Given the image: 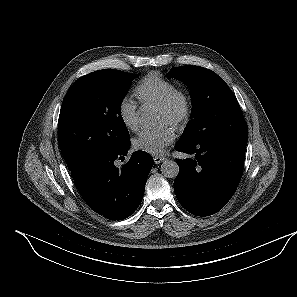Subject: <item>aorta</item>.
Here are the masks:
<instances>
[{
	"label": "aorta",
	"instance_id": "aorta-1",
	"mask_svg": "<svg viewBox=\"0 0 297 297\" xmlns=\"http://www.w3.org/2000/svg\"><path fill=\"white\" fill-rule=\"evenodd\" d=\"M139 120L148 127L156 124L157 116L153 111H144ZM161 173L167 178H175L179 173V166L175 161L165 160L161 165Z\"/></svg>",
	"mask_w": 297,
	"mask_h": 297
}]
</instances>
